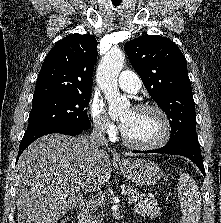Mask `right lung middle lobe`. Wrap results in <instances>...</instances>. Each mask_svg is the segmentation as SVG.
Returning <instances> with one entry per match:
<instances>
[{
	"instance_id": "1",
	"label": "right lung middle lobe",
	"mask_w": 221,
	"mask_h": 223,
	"mask_svg": "<svg viewBox=\"0 0 221 223\" xmlns=\"http://www.w3.org/2000/svg\"><path fill=\"white\" fill-rule=\"evenodd\" d=\"M90 94L55 95L33 100L26 132L53 125L89 129L91 123L85 107Z\"/></svg>"
}]
</instances>
